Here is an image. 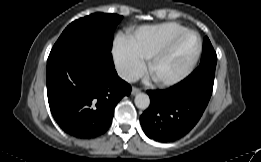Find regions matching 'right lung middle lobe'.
<instances>
[{"mask_svg": "<svg viewBox=\"0 0 261 162\" xmlns=\"http://www.w3.org/2000/svg\"><path fill=\"white\" fill-rule=\"evenodd\" d=\"M122 16L94 13L72 22L63 31L53 48L79 42H94L112 47L113 33Z\"/></svg>", "mask_w": 261, "mask_h": 162, "instance_id": "1", "label": "right lung middle lobe"}]
</instances>
